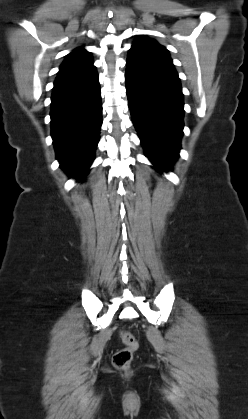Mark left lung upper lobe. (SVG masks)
I'll return each mask as SVG.
<instances>
[{
	"instance_id": "1",
	"label": "left lung upper lobe",
	"mask_w": 248,
	"mask_h": 419,
	"mask_svg": "<svg viewBox=\"0 0 248 419\" xmlns=\"http://www.w3.org/2000/svg\"><path fill=\"white\" fill-rule=\"evenodd\" d=\"M144 54L157 57L159 59L172 62L168 50L159 45L155 40L149 39L145 36H139L135 39L132 48Z\"/></svg>"
}]
</instances>
